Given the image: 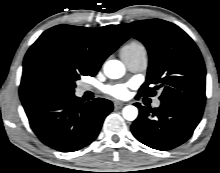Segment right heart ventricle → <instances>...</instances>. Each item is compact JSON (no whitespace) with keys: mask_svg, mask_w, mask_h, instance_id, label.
<instances>
[{"mask_svg":"<svg viewBox=\"0 0 220 173\" xmlns=\"http://www.w3.org/2000/svg\"><path fill=\"white\" fill-rule=\"evenodd\" d=\"M138 52H145V49L144 46L137 41L130 42L121 50V54H134Z\"/></svg>","mask_w":220,"mask_h":173,"instance_id":"right-heart-ventricle-1","label":"right heart ventricle"}]
</instances>
